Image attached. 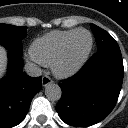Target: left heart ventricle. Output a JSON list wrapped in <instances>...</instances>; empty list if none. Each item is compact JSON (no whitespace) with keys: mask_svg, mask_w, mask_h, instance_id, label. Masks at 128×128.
<instances>
[{"mask_svg":"<svg viewBox=\"0 0 128 128\" xmlns=\"http://www.w3.org/2000/svg\"><path fill=\"white\" fill-rule=\"evenodd\" d=\"M90 44V38L87 33H78L69 48L66 66L76 63L87 51Z\"/></svg>","mask_w":128,"mask_h":128,"instance_id":"obj_1","label":"left heart ventricle"}]
</instances>
